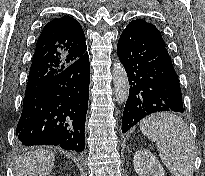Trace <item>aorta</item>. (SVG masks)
Wrapping results in <instances>:
<instances>
[{"instance_id": "aorta-1", "label": "aorta", "mask_w": 205, "mask_h": 176, "mask_svg": "<svg viewBox=\"0 0 205 176\" xmlns=\"http://www.w3.org/2000/svg\"><path fill=\"white\" fill-rule=\"evenodd\" d=\"M112 73L116 101L122 104L127 100L129 95L128 77L124 67L118 62L114 63Z\"/></svg>"}]
</instances>
